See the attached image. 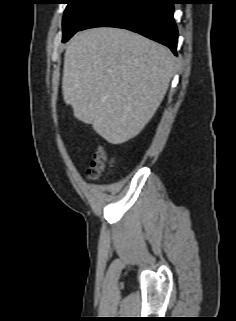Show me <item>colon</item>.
Wrapping results in <instances>:
<instances>
[{
	"mask_svg": "<svg viewBox=\"0 0 236 321\" xmlns=\"http://www.w3.org/2000/svg\"><path fill=\"white\" fill-rule=\"evenodd\" d=\"M112 161L113 160L104 150V148L99 147L93 156L89 168L87 169V179H98L102 175V173L105 172L107 168L111 165Z\"/></svg>",
	"mask_w": 236,
	"mask_h": 321,
	"instance_id": "obj_1",
	"label": "colon"
}]
</instances>
